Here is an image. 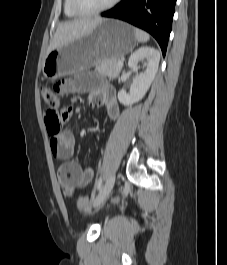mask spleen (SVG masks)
Masks as SVG:
<instances>
[{
    "mask_svg": "<svg viewBox=\"0 0 227 265\" xmlns=\"http://www.w3.org/2000/svg\"><path fill=\"white\" fill-rule=\"evenodd\" d=\"M134 31H135V36L138 42L144 43L149 40L150 37L148 33H146L145 31L138 29V28H135Z\"/></svg>",
    "mask_w": 227,
    "mask_h": 265,
    "instance_id": "spleen-1",
    "label": "spleen"
}]
</instances>
